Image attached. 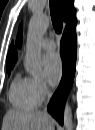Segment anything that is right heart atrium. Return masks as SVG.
<instances>
[{"instance_id":"d8ad5b80","label":"right heart atrium","mask_w":95,"mask_h":130,"mask_svg":"<svg viewBox=\"0 0 95 130\" xmlns=\"http://www.w3.org/2000/svg\"><path fill=\"white\" fill-rule=\"evenodd\" d=\"M31 82L38 100H43L49 93L46 82L41 78H32Z\"/></svg>"}]
</instances>
